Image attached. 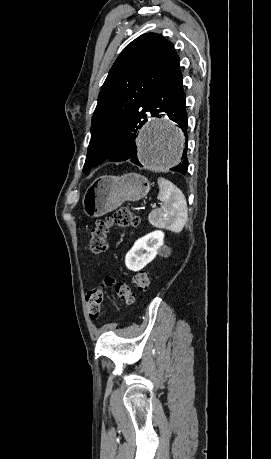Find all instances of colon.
<instances>
[{
	"instance_id": "5ec220e1",
	"label": "colon",
	"mask_w": 271,
	"mask_h": 459,
	"mask_svg": "<svg viewBox=\"0 0 271 459\" xmlns=\"http://www.w3.org/2000/svg\"><path fill=\"white\" fill-rule=\"evenodd\" d=\"M139 223V218L127 208H120L112 215L98 219L90 232V251L95 255H100L106 251L107 234L111 227H136ZM133 284L138 292L146 291L150 284L149 275L143 271L137 273L133 277ZM107 288L113 289L117 297L124 303L131 305L135 302L136 294L127 284L107 277L100 286L91 289L86 296L89 316L93 320L99 317L101 303Z\"/></svg>"
}]
</instances>
